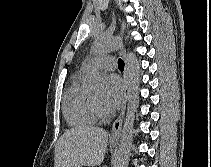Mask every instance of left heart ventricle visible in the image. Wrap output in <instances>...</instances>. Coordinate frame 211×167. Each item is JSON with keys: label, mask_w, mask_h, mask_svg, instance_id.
Instances as JSON below:
<instances>
[{"label": "left heart ventricle", "mask_w": 211, "mask_h": 167, "mask_svg": "<svg viewBox=\"0 0 211 167\" xmlns=\"http://www.w3.org/2000/svg\"><path fill=\"white\" fill-rule=\"evenodd\" d=\"M91 95L93 99L95 100V102L97 103V105L103 110V107H102L103 91L101 90L95 91Z\"/></svg>", "instance_id": "obj_1"}]
</instances>
